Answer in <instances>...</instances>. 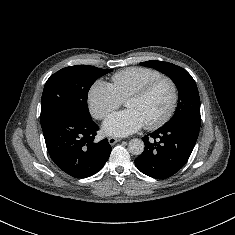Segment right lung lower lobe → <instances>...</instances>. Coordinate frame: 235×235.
Here are the masks:
<instances>
[{"instance_id": "right-lung-lower-lobe-1", "label": "right lung lower lobe", "mask_w": 235, "mask_h": 235, "mask_svg": "<svg viewBox=\"0 0 235 235\" xmlns=\"http://www.w3.org/2000/svg\"><path fill=\"white\" fill-rule=\"evenodd\" d=\"M98 129L91 118L72 114L56 116L42 126L50 157L75 178L94 175L110 156L112 148L107 139L94 142Z\"/></svg>"}]
</instances>
